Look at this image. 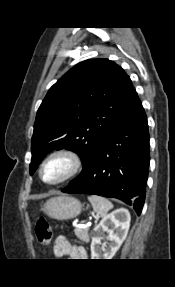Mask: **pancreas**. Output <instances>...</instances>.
I'll return each mask as SVG.
<instances>
[{
  "label": "pancreas",
  "instance_id": "pancreas-1",
  "mask_svg": "<svg viewBox=\"0 0 175 287\" xmlns=\"http://www.w3.org/2000/svg\"><path fill=\"white\" fill-rule=\"evenodd\" d=\"M74 232L77 238H79L81 241L89 242V236H88L89 228L88 227L76 228Z\"/></svg>",
  "mask_w": 175,
  "mask_h": 287
}]
</instances>
